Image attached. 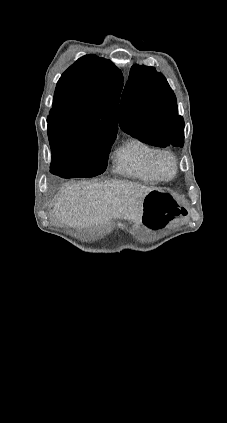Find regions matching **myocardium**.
Wrapping results in <instances>:
<instances>
[{"instance_id":"f54148a6","label":"myocardium","mask_w":227,"mask_h":423,"mask_svg":"<svg viewBox=\"0 0 227 423\" xmlns=\"http://www.w3.org/2000/svg\"><path fill=\"white\" fill-rule=\"evenodd\" d=\"M161 156H166L169 158V160L171 161V165H172V172L169 176H167L161 165L159 162V159ZM152 165L156 171V173L164 180H170L172 178L175 177L176 173H177V167H178V161L177 158L175 156V154L168 149H156L153 153V157H152Z\"/></svg>"}]
</instances>
